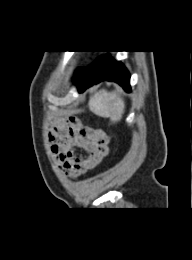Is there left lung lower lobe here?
I'll return each instance as SVG.
<instances>
[{
    "mask_svg": "<svg viewBox=\"0 0 192 260\" xmlns=\"http://www.w3.org/2000/svg\"><path fill=\"white\" fill-rule=\"evenodd\" d=\"M103 80L115 81L130 92V75L121 62L114 61L109 55L97 58L90 65L78 84V91L84 92L88 87Z\"/></svg>",
    "mask_w": 192,
    "mask_h": 260,
    "instance_id": "left-lung-lower-lobe-1",
    "label": "left lung lower lobe"
}]
</instances>
